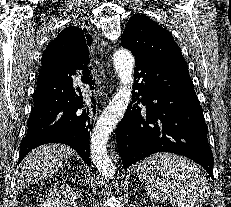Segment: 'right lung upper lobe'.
I'll use <instances>...</instances> for the list:
<instances>
[{
	"label": "right lung upper lobe",
	"instance_id": "cb5924a9",
	"mask_svg": "<svg viewBox=\"0 0 231 207\" xmlns=\"http://www.w3.org/2000/svg\"><path fill=\"white\" fill-rule=\"evenodd\" d=\"M86 32V29L75 31L72 26L65 28L48 44L41 58L42 65L80 69V65L89 61L88 47L92 44V38Z\"/></svg>",
	"mask_w": 231,
	"mask_h": 207
}]
</instances>
